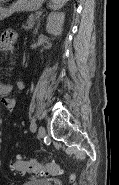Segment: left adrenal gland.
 <instances>
[{"instance_id":"left-adrenal-gland-1","label":"left adrenal gland","mask_w":119,"mask_h":185,"mask_svg":"<svg viewBox=\"0 0 119 185\" xmlns=\"http://www.w3.org/2000/svg\"><path fill=\"white\" fill-rule=\"evenodd\" d=\"M34 33H37V28H36V30H35V32Z\"/></svg>"}]
</instances>
